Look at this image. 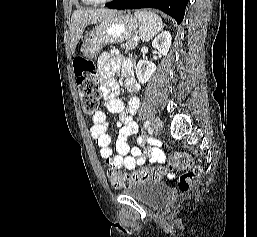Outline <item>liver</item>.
I'll use <instances>...</instances> for the list:
<instances>
[{
	"label": "liver",
	"instance_id": "6515ba94",
	"mask_svg": "<svg viewBox=\"0 0 257 237\" xmlns=\"http://www.w3.org/2000/svg\"><path fill=\"white\" fill-rule=\"evenodd\" d=\"M118 13L109 9H78L74 11L70 23L71 52H75L76 46L82 37L84 29L89 24L99 23Z\"/></svg>",
	"mask_w": 257,
	"mask_h": 237
}]
</instances>
